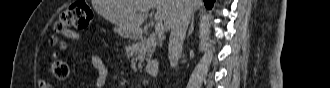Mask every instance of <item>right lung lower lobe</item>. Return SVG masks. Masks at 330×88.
I'll list each match as a JSON object with an SVG mask.
<instances>
[{
  "instance_id": "1",
  "label": "right lung lower lobe",
  "mask_w": 330,
  "mask_h": 88,
  "mask_svg": "<svg viewBox=\"0 0 330 88\" xmlns=\"http://www.w3.org/2000/svg\"><path fill=\"white\" fill-rule=\"evenodd\" d=\"M204 3H205V6L208 8V9H211L212 6H213V3L215 2V0H203Z\"/></svg>"
}]
</instances>
